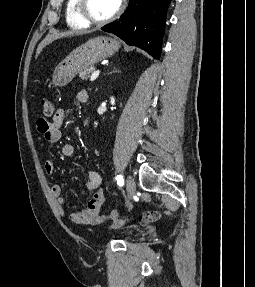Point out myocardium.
Segmentation results:
<instances>
[{"instance_id":"1","label":"myocardium","mask_w":255,"mask_h":287,"mask_svg":"<svg viewBox=\"0 0 255 287\" xmlns=\"http://www.w3.org/2000/svg\"><path fill=\"white\" fill-rule=\"evenodd\" d=\"M90 23H92V21ZM89 33H95V32H89ZM89 39H95V38H89ZM123 39H128V38H123ZM131 48H142V47H131Z\"/></svg>"}]
</instances>
